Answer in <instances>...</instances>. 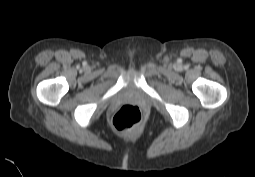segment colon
<instances>
[{
  "mask_svg": "<svg viewBox=\"0 0 255 177\" xmlns=\"http://www.w3.org/2000/svg\"><path fill=\"white\" fill-rule=\"evenodd\" d=\"M142 115L139 108L135 105H124L114 115L112 124L119 131L130 130L138 126Z\"/></svg>",
  "mask_w": 255,
  "mask_h": 177,
  "instance_id": "1",
  "label": "colon"
}]
</instances>
